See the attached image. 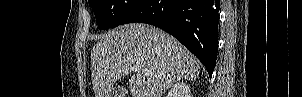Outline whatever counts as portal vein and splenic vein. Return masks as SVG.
<instances>
[{
    "label": "portal vein and splenic vein",
    "instance_id": "portal-vein-and-splenic-vein-1",
    "mask_svg": "<svg viewBox=\"0 0 302 97\" xmlns=\"http://www.w3.org/2000/svg\"><path fill=\"white\" fill-rule=\"evenodd\" d=\"M139 68H136V70H138ZM146 73H148V70H144Z\"/></svg>",
    "mask_w": 302,
    "mask_h": 97
}]
</instances>
